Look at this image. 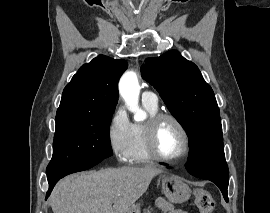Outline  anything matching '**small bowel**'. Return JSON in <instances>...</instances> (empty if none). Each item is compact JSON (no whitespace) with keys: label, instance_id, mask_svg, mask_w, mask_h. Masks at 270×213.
Returning a JSON list of instances; mask_svg holds the SVG:
<instances>
[{"label":"small bowel","instance_id":"small-bowel-1","mask_svg":"<svg viewBox=\"0 0 270 213\" xmlns=\"http://www.w3.org/2000/svg\"><path fill=\"white\" fill-rule=\"evenodd\" d=\"M157 208L164 213H187L186 211L172 208L170 203L164 201L158 202Z\"/></svg>","mask_w":270,"mask_h":213}]
</instances>
